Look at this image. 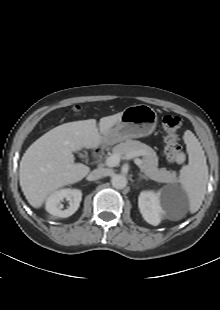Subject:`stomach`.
Listing matches in <instances>:
<instances>
[{
  "instance_id": "stomach-1",
  "label": "stomach",
  "mask_w": 220,
  "mask_h": 310,
  "mask_svg": "<svg viewBox=\"0 0 220 310\" xmlns=\"http://www.w3.org/2000/svg\"><path fill=\"white\" fill-rule=\"evenodd\" d=\"M158 116L148 105H132L123 110L120 119L106 135V144H113L128 138L149 136L156 128Z\"/></svg>"
}]
</instances>
